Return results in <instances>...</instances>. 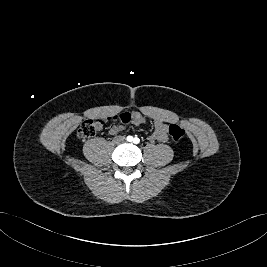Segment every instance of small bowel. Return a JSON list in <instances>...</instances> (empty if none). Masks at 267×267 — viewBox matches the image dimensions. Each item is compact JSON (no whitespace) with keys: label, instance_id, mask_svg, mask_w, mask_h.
<instances>
[{"label":"small bowel","instance_id":"c3829d8e","mask_svg":"<svg viewBox=\"0 0 267 267\" xmlns=\"http://www.w3.org/2000/svg\"><path fill=\"white\" fill-rule=\"evenodd\" d=\"M127 113V118L125 121H121L124 124L131 123L135 126H140L146 122V115L140 111L125 112ZM154 131L151 135L152 140L159 142H166L168 140V125L165 120L161 117H154ZM123 125L115 124L113 125L109 132L111 135H115L123 130Z\"/></svg>","mask_w":267,"mask_h":267}]
</instances>
